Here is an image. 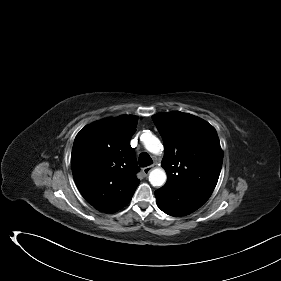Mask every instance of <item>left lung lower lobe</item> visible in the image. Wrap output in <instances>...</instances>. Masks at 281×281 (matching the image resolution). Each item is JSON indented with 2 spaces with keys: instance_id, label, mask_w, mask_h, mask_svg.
I'll return each mask as SVG.
<instances>
[{
  "instance_id": "0a47b994",
  "label": "left lung lower lobe",
  "mask_w": 281,
  "mask_h": 281,
  "mask_svg": "<svg viewBox=\"0 0 281 281\" xmlns=\"http://www.w3.org/2000/svg\"><path fill=\"white\" fill-rule=\"evenodd\" d=\"M158 207L171 216H185L199 209L207 200L191 191L162 187L155 192Z\"/></svg>"
}]
</instances>
